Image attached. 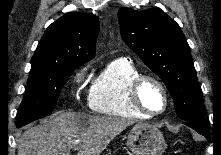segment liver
Instances as JSON below:
<instances>
[{"label": "liver", "mask_w": 221, "mask_h": 155, "mask_svg": "<svg viewBox=\"0 0 221 155\" xmlns=\"http://www.w3.org/2000/svg\"><path fill=\"white\" fill-rule=\"evenodd\" d=\"M134 124L125 118L60 112L51 120L28 128L17 140L18 155H100L123 130Z\"/></svg>", "instance_id": "1"}]
</instances>
